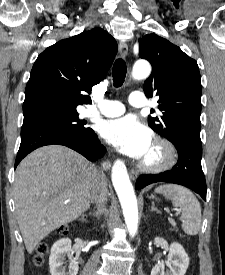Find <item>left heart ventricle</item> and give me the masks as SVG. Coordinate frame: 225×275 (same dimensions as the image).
<instances>
[{
    "label": "left heart ventricle",
    "instance_id": "obj_1",
    "mask_svg": "<svg viewBox=\"0 0 225 275\" xmlns=\"http://www.w3.org/2000/svg\"><path fill=\"white\" fill-rule=\"evenodd\" d=\"M159 157V151L153 145L150 147L149 151L145 155L144 159L148 161H155Z\"/></svg>",
    "mask_w": 225,
    "mask_h": 275
}]
</instances>
